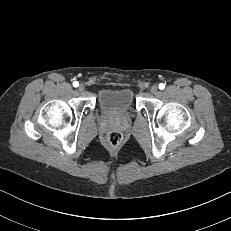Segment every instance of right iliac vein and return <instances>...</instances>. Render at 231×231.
I'll return each mask as SVG.
<instances>
[{
  "label": "right iliac vein",
  "mask_w": 231,
  "mask_h": 231,
  "mask_svg": "<svg viewBox=\"0 0 231 231\" xmlns=\"http://www.w3.org/2000/svg\"><path fill=\"white\" fill-rule=\"evenodd\" d=\"M84 89H85L84 85L80 84L78 87V90L82 92V91H84Z\"/></svg>",
  "instance_id": "right-iliac-vein-1"
}]
</instances>
